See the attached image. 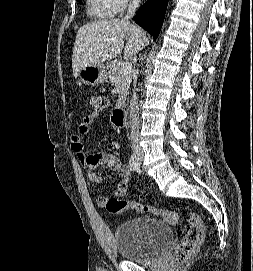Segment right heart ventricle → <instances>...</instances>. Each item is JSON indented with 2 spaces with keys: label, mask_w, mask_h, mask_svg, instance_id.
I'll return each mask as SVG.
<instances>
[{
  "label": "right heart ventricle",
  "mask_w": 253,
  "mask_h": 271,
  "mask_svg": "<svg viewBox=\"0 0 253 271\" xmlns=\"http://www.w3.org/2000/svg\"><path fill=\"white\" fill-rule=\"evenodd\" d=\"M88 12L96 18H109L116 15V11L108 0H87Z\"/></svg>",
  "instance_id": "obj_1"
}]
</instances>
